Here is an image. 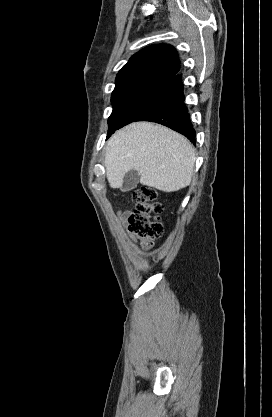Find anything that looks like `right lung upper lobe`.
<instances>
[{
    "label": "right lung upper lobe",
    "mask_w": 272,
    "mask_h": 417,
    "mask_svg": "<svg viewBox=\"0 0 272 417\" xmlns=\"http://www.w3.org/2000/svg\"><path fill=\"white\" fill-rule=\"evenodd\" d=\"M180 70L171 45H152L134 54L116 77L113 94L145 88H163Z\"/></svg>",
    "instance_id": "obj_1"
}]
</instances>
